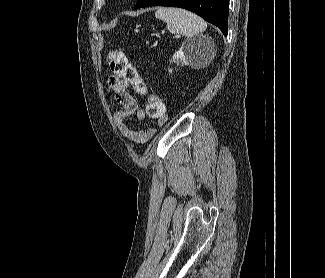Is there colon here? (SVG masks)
I'll use <instances>...</instances> for the list:
<instances>
[{
  "label": "colon",
  "mask_w": 325,
  "mask_h": 278,
  "mask_svg": "<svg viewBox=\"0 0 325 278\" xmlns=\"http://www.w3.org/2000/svg\"><path fill=\"white\" fill-rule=\"evenodd\" d=\"M107 62L114 75L130 83L139 93H146L147 87L137 68L129 61L127 55L120 49L112 50L107 56ZM146 113L149 117L162 120L165 118V105L157 96L148 100Z\"/></svg>",
  "instance_id": "obj_1"
}]
</instances>
